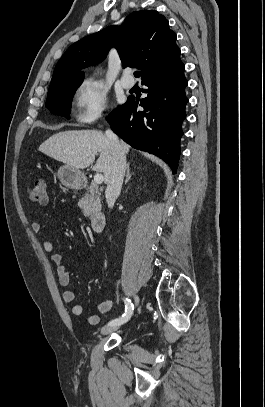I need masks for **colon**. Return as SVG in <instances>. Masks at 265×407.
Returning <instances> with one entry per match:
<instances>
[{
    "instance_id": "obj_1",
    "label": "colon",
    "mask_w": 265,
    "mask_h": 407,
    "mask_svg": "<svg viewBox=\"0 0 265 407\" xmlns=\"http://www.w3.org/2000/svg\"><path fill=\"white\" fill-rule=\"evenodd\" d=\"M30 199L37 203H46L48 200L47 183L43 179L34 182L30 190Z\"/></svg>"
}]
</instances>
